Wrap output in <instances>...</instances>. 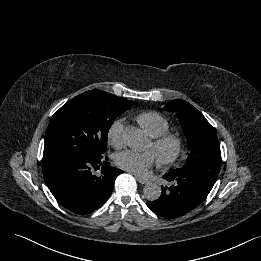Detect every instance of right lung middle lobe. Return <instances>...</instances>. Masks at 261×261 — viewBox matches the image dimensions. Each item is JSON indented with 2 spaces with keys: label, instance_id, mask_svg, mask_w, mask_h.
I'll return each mask as SVG.
<instances>
[{
  "label": "right lung middle lobe",
  "instance_id": "dd1d6c3e",
  "mask_svg": "<svg viewBox=\"0 0 261 261\" xmlns=\"http://www.w3.org/2000/svg\"><path fill=\"white\" fill-rule=\"evenodd\" d=\"M133 101L101 91H86L64 104L52 117L43 158L61 154H103L115 118Z\"/></svg>",
  "mask_w": 261,
  "mask_h": 261
}]
</instances>
